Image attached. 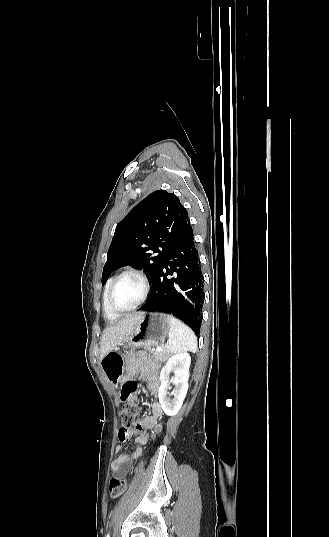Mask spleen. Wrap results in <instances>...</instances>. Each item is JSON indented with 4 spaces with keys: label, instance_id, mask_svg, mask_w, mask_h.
<instances>
[{
    "label": "spleen",
    "instance_id": "spleen-1",
    "mask_svg": "<svg viewBox=\"0 0 329 537\" xmlns=\"http://www.w3.org/2000/svg\"><path fill=\"white\" fill-rule=\"evenodd\" d=\"M170 336L166 349L170 353L183 351L195 352L197 349V338L194 332L176 317L170 316Z\"/></svg>",
    "mask_w": 329,
    "mask_h": 537
}]
</instances>
